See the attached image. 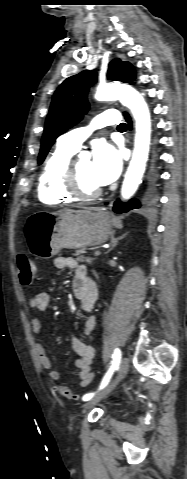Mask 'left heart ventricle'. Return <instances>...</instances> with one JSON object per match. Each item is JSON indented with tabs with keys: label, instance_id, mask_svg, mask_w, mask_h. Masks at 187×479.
I'll return each mask as SVG.
<instances>
[{
	"label": "left heart ventricle",
	"instance_id": "1",
	"mask_svg": "<svg viewBox=\"0 0 187 479\" xmlns=\"http://www.w3.org/2000/svg\"><path fill=\"white\" fill-rule=\"evenodd\" d=\"M77 168L81 186L85 191H93L100 187L93 179L92 163L89 159L77 160Z\"/></svg>",
	"mask_w": 187,
	"mask_h": 479
}]
</instances>
